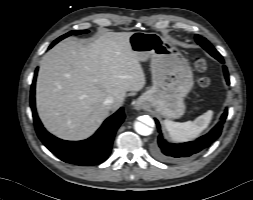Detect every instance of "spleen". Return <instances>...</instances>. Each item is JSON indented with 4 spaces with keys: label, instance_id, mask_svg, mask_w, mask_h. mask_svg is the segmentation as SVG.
<instances>
[{
    "label": "spleen",
    "instance_id": "spleen-1",
    "mask_svg": "<svg viewBox=\"0 0 253 200\" xmlns=\"http://www.w3.org/2000/svg\"><path fill=\"white\" fill-rule=\"evenodd\" d=\"M213 114L214 112L209 110L194 121L183 123L165 120L164 126L173 142H187L197 138L209 126Z\"/></svg>",
    "mask_w": 253,
    "mask_h": 200
}]
</instances>
